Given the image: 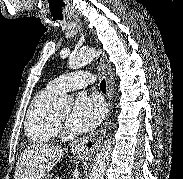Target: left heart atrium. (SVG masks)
<instances>
[{
    "instance_id": "obj_1",
    "label": "left heart atrium",
    "mask_w": 183,
    "mask_h": 179,
    "mask_svg": "<svg viewBox=\"0 0 183 179\" xmlns=\"http://www.w3.org/2000/svg\"><path fill=\"white\" fill-rule=\"evenodd\" d=\"M104 114L105 108L100 99L81 95L68 118V125L76 132H87L101 122Z\"/></svg>"
}]
</instances>
